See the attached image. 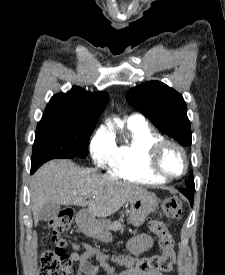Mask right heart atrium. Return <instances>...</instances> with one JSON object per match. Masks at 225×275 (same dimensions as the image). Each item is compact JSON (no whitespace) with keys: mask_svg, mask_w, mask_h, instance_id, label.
Listing matches in <instances>:
<instances>
[{"mask_svg":"<svg viewBox=\"0 0 225 275\" xmlns=\"http://www.w3.org/2000/svg\"><path fill=\"white\" fill-rule=\"evenodd\" d=\"M114 139L105 131L98 130L90 141V154L98 167L108 164L115 151Z\"/></svg>","mask_w":225,"mask_h":275,"instance_id":"d8ad5b80","label":"right heart atrium"}]
</instances>
